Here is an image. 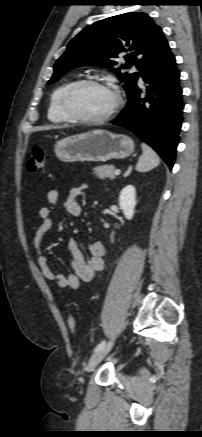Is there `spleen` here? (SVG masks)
<instances>
[{"label":"spleen","mask_w":202,"mask_h":437,"mask_svg":"<svg viewBox=\"0 0 202 437\" xmlns=\"http://www.w3.org/2000/svg\"><path fill=\"white\" fill-rule=\"evenodd\" d=\"M142 155L136 164L138 172H148L160 164V158L157 153L147 144L142 143Z\"/></svg>","instance_id":"3e777b00"}]
</instances>
